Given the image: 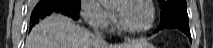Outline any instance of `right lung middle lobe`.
Segmentation results:
<instances>
[{"label": "right lung middle lobe", "instance_id": "obj_1", "mask_svg": "<svg viewBox=\"0 0 213 48\" xmlns=\"http://www.w3.org/2000/svg\"><path fill=\"white\" fill-rule=\"evenodd\" d=\"M69 4L75 6L76 8L80 9V0H66Z\"/></svg>", "mask_w": 213, "mask_h": 48}]
</instances>
